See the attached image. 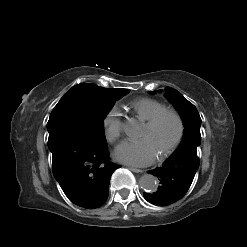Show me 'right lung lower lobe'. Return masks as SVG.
Instances as JSON below:
<instances>
[{
    "mask_svg": "<svg viewBox=\"0 0 247 247\" xmlns=\"http://www.w3.org/2000/svg\"><path fill=\"white\" fill-rule=\"evenodd\" d=\"M53 174L66 196L77 206L95 209L109 194L112 173L119 168L108 160L107 146L64 131L49 133Z\"/></svg>",
    "mask_w": 247,
    "mask_h": 247,
    "instance_id": "obj_1",
    "label": "right lung lower lobe"
}]
</instances>
